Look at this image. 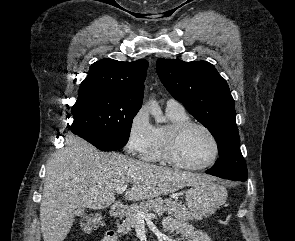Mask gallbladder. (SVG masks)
Wrapping results in <instances>:
<instances>
[{"instance_id": "obj_1", "label": "gallbladder", "mask_w": 295, "mask_h": 241, "mask_svg": "<svg viewBox=\"0 0 295 241\" xmlns=\"http://www.w3.org/2000/svg\"><path fill=\"white\" fill-rule=\"evenodd\" d=\"M84 213V209L83 208H79L76 210V216H81Z\"/></svg>"}]
</instances>
